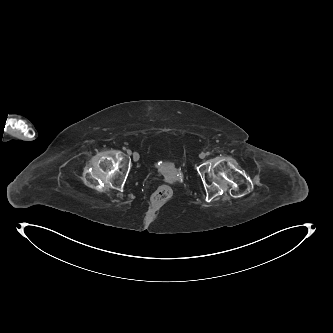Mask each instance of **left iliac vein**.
I'll use <instances>...</instances> for the list:
<instances>
[{
    "mask_svg": "<svg viewBox=\"0 0 333 333\" xmlns=\"http://www.w3.org/2000/svg\"><path fill=\"white\" fill-rule=\"evenodd\" d=\"M199 157H200L201 159H204V158L206 157V153H204V152L200 153Z\"/></svg>",
    "mask_w": 333,
    "mask_h": 333,
    "instance_id": "obj_1",
    "label": "left iliac vein"
}]
</instances>
